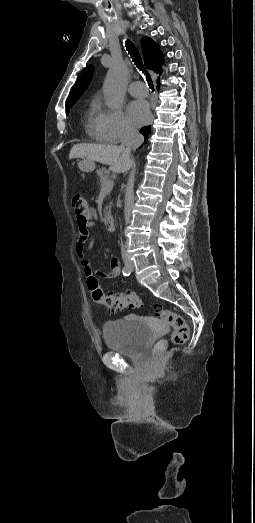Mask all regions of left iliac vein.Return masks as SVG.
Instances as JSON below:
<instances>
[{"label":"left iliac vein","mask_w":255,"mask_h":523,"mask_svg":"<svg viewBox=\"0 0 255 523\" xmlns=\"http://www.w3.org/2000/svg\"><path fill=\"white\" fill-rule=\"evenodd\" d=\"M127 265H128V267H129L130 271H133V270H134V265H133L132 262L129 261V262L127 263Z\"/></svg>","instance_id":"4c4485c4"}]
</instances>
